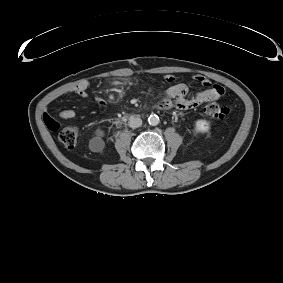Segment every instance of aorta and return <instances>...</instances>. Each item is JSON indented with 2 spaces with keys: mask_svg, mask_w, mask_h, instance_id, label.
<instances>
[{
  "mask_svg": "<svg viewBox=\"0 0 283 283\" xmlns=\"http://www.w3.org/2000/svg\"><path fill=\"white\" fill-rule=\"evenodd\" d=\"M159 122H160L159 117L156 114H151L148 118V123L151 126H156L159 124Z\"/></svg>",
  "mask_w": 283,
  "mask_h": 283,
  "instance_id": "aorta-1",
  "label": "aorta"
}]
</instances>
